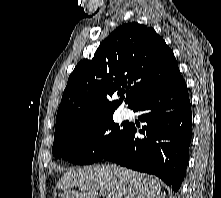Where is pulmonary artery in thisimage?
Instances as JSON below:
<instances>
[{"label":"pulmonary artery","mask_w":221,"mask_h":198,"mask_svg":"<svg viewBox=\"0 0 221 198\" xmlns=\"http://www.w3.org/2000/svg\"><path fill=\"white\" fill-rule=\"evenodd\" d=\"M132 111L129 109V108H123L122 110H121V116H122V118H124V119H128V118H130L131 116H132Z\"/></svg>","instance_id":"1"}]
</instances>
